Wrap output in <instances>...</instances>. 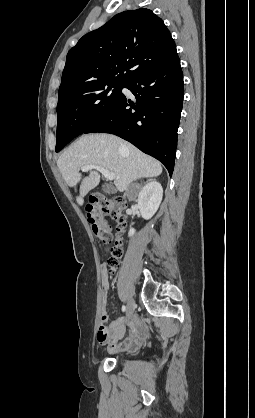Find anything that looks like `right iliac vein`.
I'll return each instance as SVG.
<instances>
[{
    "instance_id": "obj_1",
    "label": "right iliac vein",
    "mask_w": 255,
    "mask_h": 418,
    "mask_svg": "<svg viewBox=\"0 0 255 418\" xmlns=\"http://www.w3.org/2000/svg\"><path fill=\"white\" fill-rule=\"evenodd\" d=\"M135 307H136L135 301L133 299H130L127 303V318L128 319L133 315Z\"/></svg>"
}]
</instances>
